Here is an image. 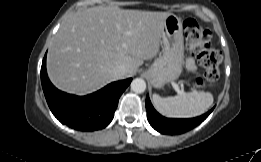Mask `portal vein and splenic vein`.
Wrapping results in <instances>:
<instances>
[{
    "mask_svg": "<svg viewBox=\"0 0 261 162\" xmlns=\"http://www.w3.org/2000/svg\"><path fill=\"white\" fill-rule=\"evenodd\" d=\"M172 86H173L174 90H175L177 93H180V94L183 93V91L180 90V88H179V86H178L177 84L173 83Z\"/></svg>",
    "mask_w": 261,
    "mask_h": 162,
    "instance_id": "portal-vein-and-splenic-vein-1",
    "label": "portal vein and splenic vein"
}]
</instances>
